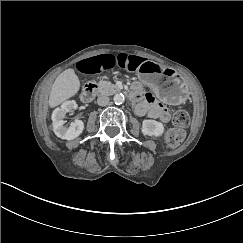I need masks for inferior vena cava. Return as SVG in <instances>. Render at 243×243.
<instances>
[{
    "label": "inferior vena cava",
    "instance_id": "inferior-vena-cava-1",
    "mask_svg": "<svg viewBox=\"0 0 243 243\" xmlns=\"http://www.w3.org/2000/svg\"><path fill=\"white\" fill-rule=\"evenodd\" d=\"M99 106H106L109 103V97L105 95H101L96 100Z\"/></svg>",
    "mask_w": 243,
    "mask_h": 243
}]
</instances>
